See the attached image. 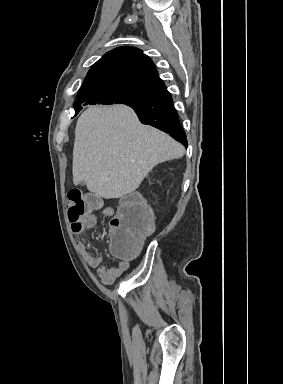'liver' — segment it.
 <instances>
[{"label":"liver","instance_id":"6515ba94","mask_svg":"<svg viewBox=\"0 0 283 384\" xmlns=\"http://www.w3.org/2000/svg\"><path fill=\"white\" fill-rule=\"evenodd\" d=\"M184 154V146L168 134L140 124L132 108L90 106L76 124L73 182H85L100 198H123L154 166Z\"/></svg>","mask_w":283,"mask_h":384}]
</instances>
